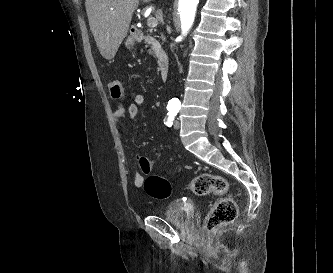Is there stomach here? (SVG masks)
<instances>
[{"label":"stomach","mask_w":333,"mask_h":273,"mask_svg":"<svg viewBox=\"0 0 333 273\" xmlns=\"http://www.w3.org/2000/svg\"><path fill=\"white\" fill-rule=\"evenodd\" d=\"M134 42H135L134 37H133V36H130V37H128V39L126 40L125 45H126L127 48L130 49V48L133 47Z\"/></svg>","instance_id":"obj_1"}]
</instances>
